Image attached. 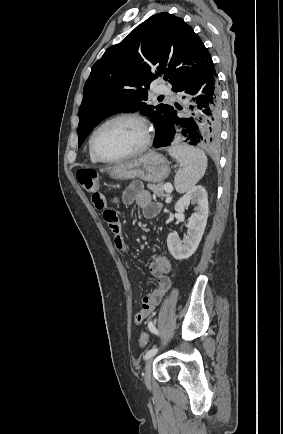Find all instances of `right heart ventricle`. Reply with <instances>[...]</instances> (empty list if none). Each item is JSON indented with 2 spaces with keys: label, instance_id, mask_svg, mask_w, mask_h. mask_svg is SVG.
<instances>
[{
  "label": "right heart ventricle",
  "instance_id": "e07e8e85",
  "mask_svg": "<svg viewBox=\"0 0 283 434\" xmlns=\"http://www.w3.org/2000/svg\"><path fill=\"white\" fill-rule=\"evenodd\" d=\"M90 159L92 162H97L98 160L92 155V153L90 152Z\"/></svg>",
  "mask_w": 283,
  "mask_h": 434
}]
</instances>
